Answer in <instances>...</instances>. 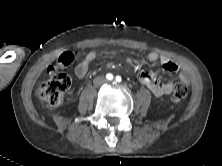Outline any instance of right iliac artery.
<instances>
[{
  "mask_svg": "<svg viewBox=\"0 0 222 166\" xmlns=\"http://www.w3.org/2000/svg\"><path fill=\"white\" fill-rule=\"evenodd\" d=\"M106 78H107V80H113V75L111 74V73H108L107 75H106Z\"/></svg>",
  "mask_w": 222,
  "mask_h": 166,
  "instance_id": "1",
  "label": "right iliac artery"
}]
</instances>
